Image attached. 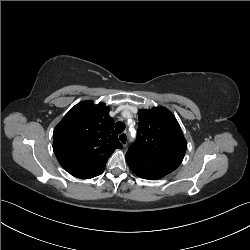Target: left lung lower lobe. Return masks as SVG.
<instances>
[{
	"label": "left lung lower lobe",
	"instance_id": "left-lung-lower-lobe-1",
	"mask_svg": "<svg viewBox=\"0 0 250 250\" xmlns=\"http://www.w3.org/2000/svg\"><path fill=\"white\" fill-rule=\"evenodd\" d=\"M131 171L144 179H159L167 175L165 171L158 169L154 162L147 158L140 159L135 165L130 167Z\"/></svg>",
	"mask_w": 250,
	"mask_h": 250
}]
</instances>
